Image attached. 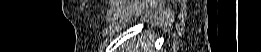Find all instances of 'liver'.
<instances>
[{
	"instance_id": "6515ba94",
	"label": "liver",
	"mask_w": 261,
	"mask_h": 52,
	"mask_svg": "<svg viewBox=\"0 0 261 52\" xmlns=\"http://www.w3.org/2000/svg\"><path fill=\"white\" fill-rule=\"evenodd\" d=\"M139 46H140V44H138V46H134L133 51H131L132 49H131V45H130L128 52H147L145 50H148V48H149V45L146 44V46H141V49H140L141 51H139ZM142 50H144V51H142Z\"/></svg>"
}]
</instances>
